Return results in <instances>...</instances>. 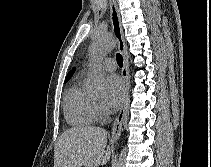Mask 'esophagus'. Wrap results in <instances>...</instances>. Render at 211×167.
<instances>
[{
	"mask_svg": "<svg viewBox=\"0 0 211 167\" xmlns=\"http://www.w3.org/2000/svg\"><path fill=\"white\" fill-rule=\"evenodd\" d=\"M109 3H110L111 23H112L113 33L118 44V49L123 56V68H122L121 74L124 81V93H123L121 108L113 124L112 134H111V139L113 141H116L119 139L120 134H121L122 123L125 116V110H126V105H127V100H128L129 68H128L126 44L123 37V31L121 27V20H120L117 4L115 0H110Z\"/></svg>",
	"mask_w": 211,
	"mask_h": 167,
	"instance_id": "obj_1",
	"label": "esophagus"
}]
</instances>
